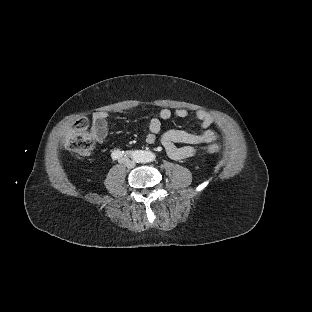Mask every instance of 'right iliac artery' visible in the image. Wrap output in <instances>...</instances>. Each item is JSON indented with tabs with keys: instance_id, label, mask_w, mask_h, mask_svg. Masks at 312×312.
Wrapping results in <instances>:
<instances>
[{
	"instance_id": "1",
	"label": "right iliac artery",
	"mask_w": 312,
	"mask_h": 312,
	"mask_svg": "<svg viewBox=\"0 0 312 312\" xmlns=\"http://www.w3.org/2000/svg\"><path fill=\"white\" fill-rule=\"evenodd\" d=\"M127 153H125L124 151H120V150H114L111 154L113 159H120L123 156H126Z\"/></svg>"
}]
</instances>
